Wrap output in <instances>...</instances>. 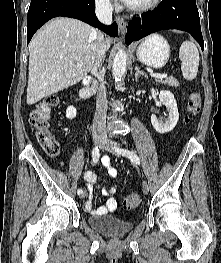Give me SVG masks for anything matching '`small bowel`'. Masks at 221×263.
<instances>
[{
    "mask_svg": "<svg viewBox=\"0 0 221 263\" xmlns=\"http://www.w3.org/2000/svg\"><path fill=\"white\" fill-rule=\"evenodd\" d=\"M101 162L108 169L109 177L115 178L117 176V170L110 165V158L108 156H103ZM83 178L86 181V187L88 191V200L85 202L84 205L87 211L93 214L102 215L116 209L117 201L114 198V194L116 192L115 187H107V186L104 187L102 189V193L105 196H107L108 199L105 204L101 205L98 208H94L92 204V200H93L92 186L99 181V178L92 171H85L83 174Z\"/></svg>",
    "mask_w": 221,
    "mask_h": 263,
    "instance_id": "c3829d8e",
    "label": "small bowel"
}]
</instances>
